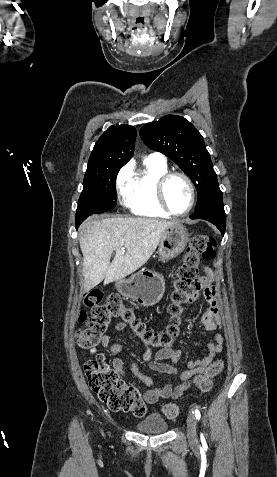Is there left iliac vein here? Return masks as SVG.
Masks as SVG:
<instances>
[{"instance_id":"left-iliac-vein-1","label":"left iliac vein","mask_w":277,"mask_h":477,"mask_svg":"<svg viewBox=\"0 0 277 477\" xmlns=\"http://www.w3.org/2000/svg\"><path fill=\"white\" fill-rule=\"evenodd\" d=\"M187 433L189 442L195 444L197 442L196 418L192 413H189L187 417Z\"/></svg>"}]
</instances>
